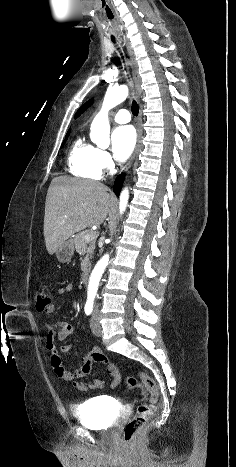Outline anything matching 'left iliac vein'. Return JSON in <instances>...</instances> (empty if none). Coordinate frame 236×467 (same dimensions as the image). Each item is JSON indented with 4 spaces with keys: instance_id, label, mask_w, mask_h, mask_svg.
I'll use <instances>...</instances> for the list:
<instances>
[{
    "instance_id": "1",
    "label": "left iliac vein",
    "mask_w": 236,
    "mask_h": 467,
    "mask_svg": "<svg viewBox=\"0 0 236 467\" xmlns=\"http://www.w3.org/2000/svg\"><path fill=\"white\" fill-rule=\"evenodd\" d=\"M90 326H91L92 333L95 336L99 337L102 335V328L99 323V317H98L97 311H94L92 314Z\"/></svg>"
}]
</instances>
